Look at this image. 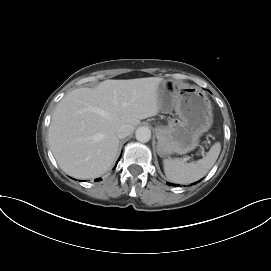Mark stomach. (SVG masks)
I'll return each instance as SVG.
<instances>
[{"label": "stomach", "mask_w": 271, "mask_h": 271, "mask_svg": "<svg viewBox=\"0 0 271 271\" xmlns=\"http://www.w3.org/2000/svg\"><path fill=\"white\" fill-rule=\"evenodd\" d=\"M162 112L175 110L178 119L167 126H157V151L161 156L185 154L195 149L200 137L213 124L211 101L205 91L195 86H181L163 81L157 91Z\"/></svg>", "instance_id": "stomach-1"}]
</instances>
